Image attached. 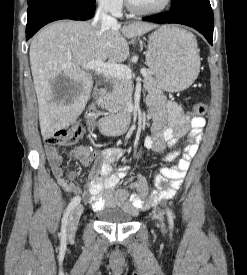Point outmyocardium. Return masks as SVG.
<instances>
[{
	"label": "myocardium",
	"instance_id": "myocardium-1",
	"mask_svg": "<svg viewBox=\"0 0 247 275\" xmlns=\"http://www.w3.org/2000/svg\"><path fill=\"white\" fill-rule=\"evenodd\" d=\"M125 1H126V6L128 10L135 15H154L166 10L171 4L172 0H165L164 3L159 7L151 8V9L138 8L132 3L131 0H125Z\"/></svg>",
	"mask_w": 247,
	"mask_h": 275
}]
</instances>
